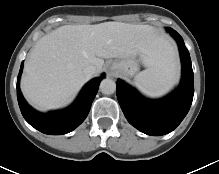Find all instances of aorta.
Segmentation results:
<instances>
[{
    "instance_id": "762f6f07",
    "label": "aorta",
    "mask_w": 219,
    "mask_h": 174,
    "mask_svg": "<svg viewBox=\"0 0 219 174\" xmlns=\"http://www.w3.org/2000/svg\"><path fill=\"white\" fill-rule=\"evenodd\" d=\"M100 91L105 95L113 94L116 91V83L110 78L103 79L100 83Z\"/></svg>"
}]
</instances>
